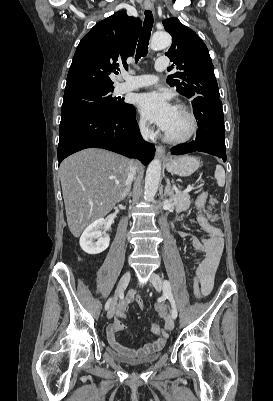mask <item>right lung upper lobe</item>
Instances as JSON below:
<instances>
[{
    "label": "right lung upper lobe",
    "mask_w": 273,
    "mask_h": 401,
    "mask_svg": "<svg viewBox=\"0 0 273 401\" xmlns=\"http://www.w3.org/2000/svg\"><path fill=\"white\" fill-rule=\"evenodd\" d=\"M141 29L139 19L117 12L97 23L80 41L67 76L64 96L114 89L109 77L127 66Z\"/></svg>",
    "instance_id": "obj_1"
}]
</instances>
